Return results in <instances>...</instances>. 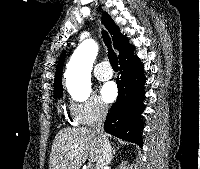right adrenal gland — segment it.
I'll list each match as a JSON object with an SVG mask.
<instances>
[{"label": "right adrenal gland", "mask_w": 200, "mask_h": 169, "mask_svg": "<svg viewBox=\"0 0 200 169\" xmlns=\"http://www.w3.org/2000/svg\"><path fill=\"white\" fill-rule=\"evenodd\" d=\"M116 154V149L115 148H113V155H115Z\"/></svg>", "instance_id": "obj_1"}]
</instances>
